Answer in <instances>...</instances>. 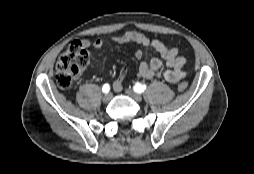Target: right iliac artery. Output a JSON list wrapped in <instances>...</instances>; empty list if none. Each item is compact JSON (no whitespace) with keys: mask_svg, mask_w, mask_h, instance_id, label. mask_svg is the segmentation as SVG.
<instances>
[{"mask_svg":"<svg viewBox=\"0 0 254 174\" xmlns=\"http://www.w3.org/2000/svg\"><path fill=\"white\" fill-rule=\"evenodd\" d=\"M109 90H110L109 84H104L103 87H102V91H103L104 93H108Z\"/></svg>","mask_w":254,"mask_h":174,"instance_id":"82829eb1","label":"right iliac artery"}]
</instances>
